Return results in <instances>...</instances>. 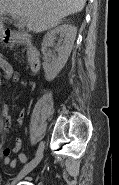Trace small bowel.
<instances>
[{
  "instance_id": "1",
  "label": "small bowel",
  "mask_w": 119,
  "mask_h": 185,
  "mask_svg": "<svg viewBox=\"0 0 119 185\" xmlns=\"http://www.w3.org/2000/svg\"><path fill=\"white\" fill-rule=\"evenodd\" d=\"M0 68L7 80H11L21 85L26 84L25 81H23L18 74L14 73L13 66L6 59L4 58L0 59ZM2 113L4 117V129L6 131H10L13 125V119L9 113L8 105L3 106ZM23 122H24V112L21 111L18 117L16 118V123L18 125H22ZM21 149H22V140L20 138H17L15 140V145L12 149L6 148L3 150L4 164L11 168H15L17 166L16 160L12 158L13 153L18 154L19 161L25 163L27 161V156L23 152H21Z\"/></svg>"
}]
</instances>
